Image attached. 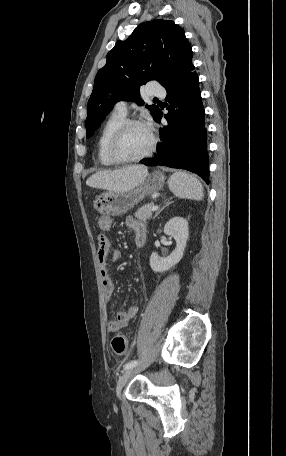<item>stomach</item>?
<instances>
[{
	"label": "stomach",
	"mask_w": 286,
	"mask_h": 456,
	"mask_svg": "<svg viewBox=\"0 0 286 456\" xmlns=\"http://www.w3.org/2000/svg\"><path fill=\"white\" fill-rule=\"evenodd\" d=\"M165 176L154 171L139 186L125 192H106L96 197L93 207L101 214L120 216L141 202L147 195L161 190Z\"/></svg>",
	"instance_id": "stomach-1"
}]
</instances>
